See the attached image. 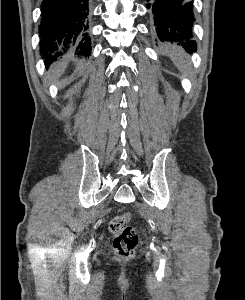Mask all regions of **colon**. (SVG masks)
<instances>
[{"label":"colon","mask_w":245,"mask_h":300,"mask_svg":"<svg viewBox=\"0 0 245 300\" xmlns=\"http://www.w3.org/2000/svg\"><path fill=\"white\" fill-rule=\"evenodd\" d=\"M132 215L124 212L114 217L109 223V230L113 235L115 252L121 257H132L136 253L138 234L130 225Z\"/></svg>","instance_id":"5ec220e1"}]
</instances>
